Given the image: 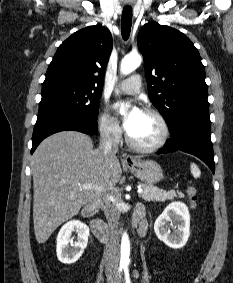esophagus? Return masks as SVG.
I'll return each instance as SVG.
<instances>
[{
	"mask_svg": "<svg viewBox=\"0 0 233 283\" xmlns=\"http://www.w3.org/2000/svg\"><path fill=\"white\" fill-rule=\"evenodd\" d=\"M124 161L126 163H134L136 161V159L132 155H125L124 156Z\"/></svg>",
	"mask_w": 233,
	"mask_h": 283,
	"instance_id": "1",
	"label": "esophagus"
}]
</instances>
